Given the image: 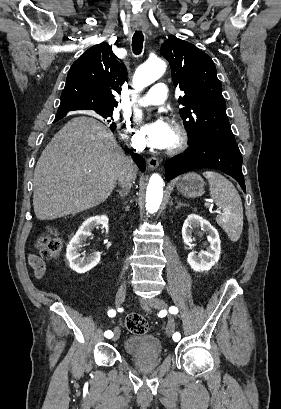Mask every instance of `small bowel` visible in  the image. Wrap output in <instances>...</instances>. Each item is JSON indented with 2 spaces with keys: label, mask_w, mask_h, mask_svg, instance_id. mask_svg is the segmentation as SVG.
<instances>
[{
  "label": "small bowel",
  "mask_w": 281,
  "mask_h": 409,
  "mask_svg": "<svg viewBox=\"0 0 281 409\" xmlns=\"http://www.w3.org/2000/svg\"><path fill=\"white\" fill-rule=\"evenodd\" d=\"M29 262L33 268V273L36 276L35 278L38 280L40 278L38 275L43 276L45 273V270H46L45 262L43 261L42 258L35 256V255H30Z\"/></svg>",
  "instance_id": "small-bowel-1"
}]
</instances>
